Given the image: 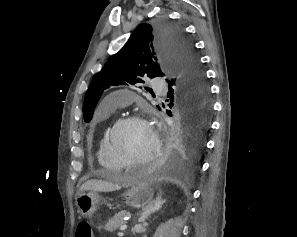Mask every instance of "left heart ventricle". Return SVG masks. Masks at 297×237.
<instances>
[{"label":"left heart ventricle","instance_id":"1","mask_svg":"<svg viewBox=\"0 0 297 237\" xmlns=\"http://www.w3.org/2000/svg\"><path fill=\"white\" fill-rule=\"evenodd\" d=\"M115 142L121 153L131 160L146 158L154 146L149 127L142 123H129L122 126L116 133Z\"/></svg>","mask_w":297,"mask_h":237}]
</instances>
